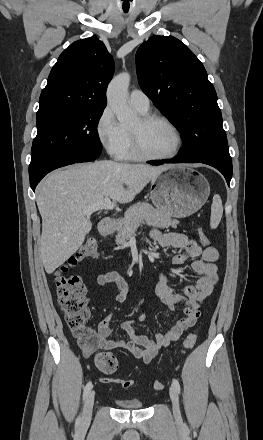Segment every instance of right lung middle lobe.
Masks as SVG:
<instances>
[{"label":"right lung middle lobe","mask_w":263,"mask_h":440,"mask_svg":"<svg viewBox=\"0 0 263 440\" xmlns=\"http://www.w3.org/2000/svg\"><path fill=\"white\" fill-rule=\"evenodd\" d=\"M104 108L47 109L37 112V135L32 144L29 177L61 156L81 159L82 151L100 146L97 125Z\"/></svg>","instance_id":"right-lung-middle-lobe-1"}]
</instances>
